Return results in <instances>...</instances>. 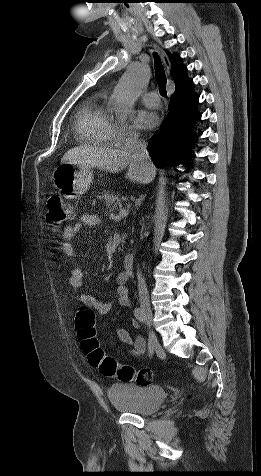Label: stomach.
I'll list each match as a JSON object with an SVG mask.
<instances>
[{
    "mask_svg": "<svg viewBox=\"0 0 261 476\" xmlns=\"http://www.w3.org/2000/svg\"><path fill=\"white\" fill-rule=\"evenodd\" d=\"M53 179L64 196L73 199L83 195L90 188L93 173L90 167L65 163L54 170Z\"/></svg>",
    "mask_w": 261,
    "mask_h": 476,
    "instance_id": "obj_1",
    "label": "stomach"
}]
</instances>
